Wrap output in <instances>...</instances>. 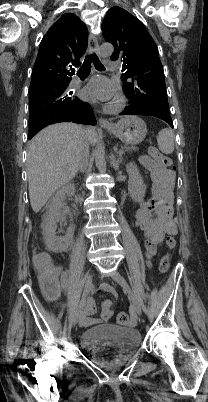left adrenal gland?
<instances>
[{
  "mask_svg": "<svg viewBox=\"0 0 208 402\" xmlns=\"http://www.w3.org/2000/svg\"><path fill=\"white\" fill-rule=\"evenodd\" d=\"M122 154H120L119 158H115V156H111V166H113L114 170H119V164L122 162L121 158Z\"/></svg>",
  "mask_w": 208,
  "mask_h": 402,
  "instance_id": "1",
  "label": "left adrenal gland"
}]
</instances>
